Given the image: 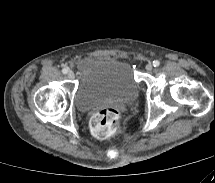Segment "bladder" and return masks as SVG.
I'll return each instance as SVG.
<instances>
[{
	"label": "bladder",
	"mask_w": 215,
	"mask_h": 183,
	"mask_svg": "<svg viewBox=\"0 0 215 183\" xmlns=\"http://www.w3.org/2000/svg\"><path fill=\"white\" fill-rule=\"evenodd\" d=\"M78 85L74 102L81 112L112 103H126L137 97L139 83L132 66L121 59L86 57L77 64Z\"/></svg>",
	"instance_id": "bladder-1"
}]
</instances>
